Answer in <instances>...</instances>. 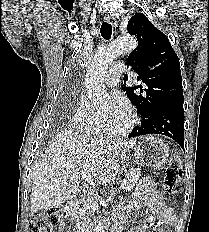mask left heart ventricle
I'll list each match as a JSON object with an SVG mask.
<instances>
[{"instance_id":"obj_1","label":"left heart ventricle","mask_w":209,"mask_h":232,"mask_svg":"<svg viewBox=\"0 0 209 232\" xmlns=\"http://www.w3.org/2000/svg\"><path fill=\"white\" fill-rule=\"evenodd\" d=\"M128 120H129V117L127 115L119 120L110 122L109 126L112 128H120L126 125L128 123Z\"/></svg>"}]
</instances>
